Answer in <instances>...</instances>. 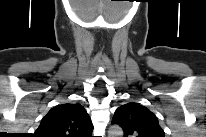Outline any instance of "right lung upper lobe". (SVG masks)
I'll return each mask as SVG.
<instances>
[{
	"label": "right lung upper lobe",
	"mask_w": 206,
	"mask_h": 137,
	"mask_svg": "<svg viewBox=\"0 0 206 137\" xmlns=\"http://www.w3.org/2000/svg\"><path fill=\"white\" fill-rule=\"evenodd\" d=\"M93 125L80 104L53 107L41 120L35 135L38 137H83L91 135Z\"/></svg>",
	"instance_id": "1"
}]
</instances>
